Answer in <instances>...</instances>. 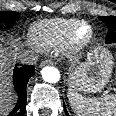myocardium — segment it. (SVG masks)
Wrapping results in <instances>:
<instances>
[{
	"label": "myocardium",
	"instance_id": "myocardium-1",
	"mask_svg": "<svg viewBox=\"0 0 116 116\" xmlns=\"http://www.w3.org/2000/svg\"><path fill=\"white\" fill-rule=\"evenodd\" d=\"M83 28L88 30L85 36L80 34ZM93 37V26L86 21H78L66 33L62 41V49L69 57H76L88 47Z\"/></svg>",
	"mask_w": 116,
	"mask_h": 116
}]
</instances>
